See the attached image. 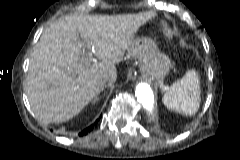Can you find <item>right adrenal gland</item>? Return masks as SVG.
<instances>
[{
    "label": "right adrenal gland",
    "mask_w": 240,
    "mask_h": 160,
    "mask_svg": "<svg viewBox=\"0 0 240 160\" xmlns=\"http://www.w3.org/2000/svg\"><path fill=\"white\" fill-rule=\"evenodd\" d=\"M103 90H104L103 88L100 89L98 95L94 98L93 103L96 102L97 100H99V94H100L101 92H103Z\"/></svg>",
    "instance_id": "1"
}]
</instances>
